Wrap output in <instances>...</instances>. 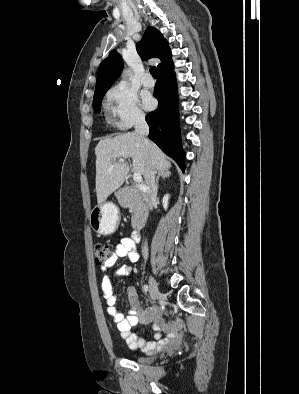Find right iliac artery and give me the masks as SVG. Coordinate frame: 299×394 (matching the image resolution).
I'll return each mask as SVG.
<instances>
[{"instance_id": "right-iliac-artery-1", "label": "right iliac artery", "mask_w": 299, "mask_h": 394, "mask_svg": "<svg viewBox=\"0 0 299 394\" xmlns=\"http://www.w3.org/2000/svg\"><path fill=\"white\" fill-rule=\"evenodd\" d=\"M143 290H144V292H145V293H147V292H148V290H149V287H148V285H146V284H145V285L143 286Z\"/></svg>"}]
</instances>
